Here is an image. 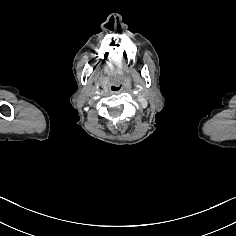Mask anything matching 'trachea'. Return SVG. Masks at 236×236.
I'll return each mask as SVG.
<instances>
[{
	"mask_svg": "<svg viewBox=\"0 0 236 236\" xmlns=\"http://www.w3.org/2000/svg\"><path fill=\"white\" fill-rule=\"evenodd\" d=\"M111 91H112L114 94H119V93L122 91V86H121L119 83H114V84L111 86Z\"/></svg>",
	"mask_w": 236,
	"mask_h": 236,
	"instance_id": "3493384b",
	"label": "trachea"
}]
</instances>
